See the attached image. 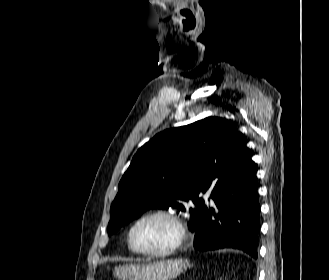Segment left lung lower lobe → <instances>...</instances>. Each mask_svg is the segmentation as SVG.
Wrapping results in <instances>:
<instances>
[{
    "label": "left lung lower lobe",
    "instance_id": "left-lung-lower-lobe-1",
    "mask_svg": "<svg viewBox=\"0 0 329 280\" xmlns=\"http://www.w3.org/2000/svg\"><path fill=\"white\" fill-rule=\"evenodd\" d=\"M255 174V164L244 146L239 169L231 182L211 196L215 206L203 205L199 210L196 250L233 248L257 258L260 207Z\"/></svg>",
    "mask_w": 329,
    "mask_h": 280
}]
</instances>
